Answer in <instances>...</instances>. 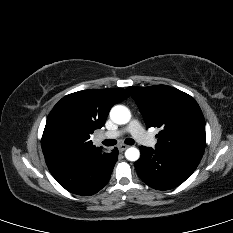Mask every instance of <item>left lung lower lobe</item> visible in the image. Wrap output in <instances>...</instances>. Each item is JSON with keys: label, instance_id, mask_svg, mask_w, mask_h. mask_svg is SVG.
Returning <instances> with one entry per match:
<instances>
[{"label": "left lung lower lobe", "instance_id": "left-lung-lower-lobe-1", "mask_svg": "<svg viewBox=\"0 0 233 233\" xmlns=\"http://www.w3.org/2000/svg\"><path fill=\"white\" fill-rule=\"evenodd\" d=\"M141 157L134 163L139 177L157 190L179 186L198 166L203 153L185 149H152L141 146Z\"/></svg>", "mask_w": 233, "mask_h": 233}]
</instances>
